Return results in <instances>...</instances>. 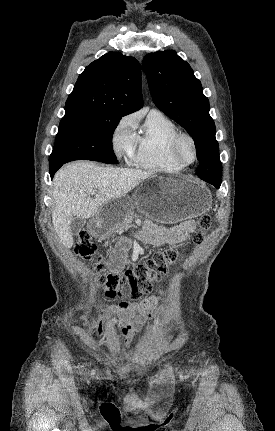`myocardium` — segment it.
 Returning a JSON list of instances; mask_svg holds the SVG:
<instances>
[{
	"label": "myocardium",
	"instance_id": "1",
	"mask_svg": "<svg viewBox=\"0 0 275 431\" xmlns=\"http://www.w3.org/2000/svg\"><path fill=\"white\" fill-rule=\"evenodd\" d=\"M183 140H187L191 144V147H192L193 156H192L191 161H189V162H184L182 160V158L180 157V154H179V146H180L181 141H183ZM169 153H170L172 160L176 164H178L179 166H181L183 168L191 166L192 164H194L196 162V160L198 158V147H197V143H196L195 138L187 132H178L172 138V140L170 142Z\"/></svg>",
	"mask_w": 275,
	"mask_h": 431
}]
</instances>
